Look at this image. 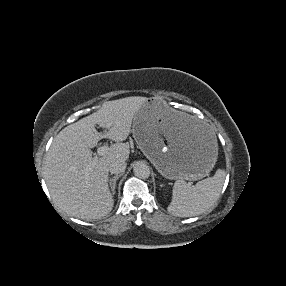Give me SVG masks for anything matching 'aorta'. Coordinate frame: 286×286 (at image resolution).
Here are the masks:
<instances>
[{"label": "aorta", "instance_id": "1", "mask_svg": "<svg viewBox=\"0 0 286 286\" xmlns=\"http://www.w3.org/2000/svg\"><path fill=\"white\" fill-rule=\"evenodd\" d=\"M133 172L135 176L141 179H146L150 176V168L143 161H138L134 164Z\"/></svg>", "mask_w": 286, "mask_h": 286}]
</instances>
